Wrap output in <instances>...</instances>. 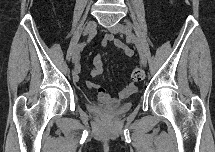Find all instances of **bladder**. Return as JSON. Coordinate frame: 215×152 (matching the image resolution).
<instances>
[{
	"label": "bladder",
	"mask_w": 215,
	"mask_h": 152,
	"mask_svg": "<svg viewBox=\"0 0 215 152\" xmlns=\"http://www.w3.org/2000/svg\"><path fill=\"white\" fill-rule=\"evenodd\" d=\"M131 108V103L130 102H125L122 104H119L118 106L115 107L114 109V115H121L126 113L127 111H129ZM90 109L93 112H97L98 111V107L97 106H91Z\"/></svg>",
	"instance_id": "31cf9c89"
}]
</instances>
